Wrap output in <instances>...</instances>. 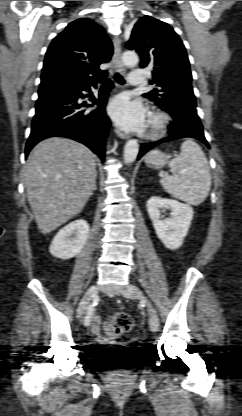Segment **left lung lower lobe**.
<instances>
[{
  "label": "left lung lower lobe",
  "instance_id": "0a47b994",
  "mask_svg": "<svg viewBox=\"0 0 242 416\" xmlns=\"http://www.w3.org/2000/svg\"><path fill=\"white\" fill-rule=\"evenodd\" d=\"M172 117L174 121L168 126L170 135L156 142L142 144L138 159L156 145L186 137L197 139L209 147V144L204 137L203 127L198 115L187 113L179 116L172 115Z\"/></svg>",
  "mask_w": 242,
  "mask_h": 416
}]
</instances>
